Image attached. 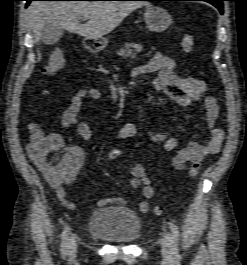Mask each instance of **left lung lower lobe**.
I'll use <instances>...</instances> for the list:
<instances>
[{
  "label": "left lung lower lobe",
  "mask_w": 247,
  "mask_h": 265,
  "mask_svg": "<svg viewBox=\"0 0 247 265\" xmlns=\"http://www.w3.org/2000/svg\"><path fill=\"white\" fill-rule=\"evenodd\" d=\"M145 1H206V2L214 5L216 8H218L222 14L223 13L222 1H224V0H222V1H218V0H145Z\"/></svg>",
  "instance_id": "1"
}]
</instances>
